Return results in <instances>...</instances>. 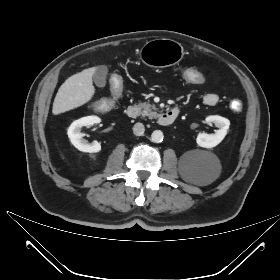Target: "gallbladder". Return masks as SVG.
Masks as SVG:
<instances>
[{"instance_id": "bac80fb5", "label": "gallbladder", "mask_w": 280, "mask_h": 280, "mask_svg": "<svg viewBox=\"0 0 280 280\" xmlns=\"http://www.w3.org/2000/svg\"><path fill=\"white\" fill-rule=\"evenodd\" d=\"M108 74V68L105 65L97 67L94 75L93 81L98 87H104L106 85V78Z\"/></svg>"}]
</instances>
